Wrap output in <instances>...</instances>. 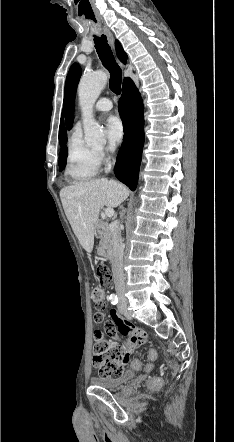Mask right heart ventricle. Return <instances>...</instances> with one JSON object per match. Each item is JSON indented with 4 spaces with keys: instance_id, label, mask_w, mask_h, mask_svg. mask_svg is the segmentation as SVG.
Here are the masks:
<instances>
[{
    "instance_id": "obj_1",
    "label": "right heart ventricle",
    "mask_w": 234,
    "mask_h": 442,
    "mask_svg": "<svg viewBox=\"0 0 234 442\" xmlns=\"http://www.w3.org/2000/svg\"><path fill=\"white\" fill-rule=\"evenodd\" d=\"M100 159L96 150L88 147L80 128H75L68 141L65 175L74 182L93 179L99 171Z\"/></svg>"
}]
</instances>
